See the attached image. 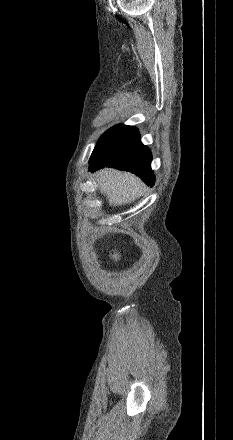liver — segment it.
Listing matches in <instances>:
<instances>
[{"label":"liver","mask_w":233,"mask_h":440,"mask_svg":"<svg viewBox=\"0 0 233 440\" xmlns=\"http://www.w3.org/2000/svg\"><path fill=\"white\" fill-rule=\"evenodd\" d=\"M99 191L107 196L113 206L130 204L138 199L145 189L143 182L133 174L104 168L97 172Z\"/></svg>","instance_id":"6515ba94"}]
</instances>
